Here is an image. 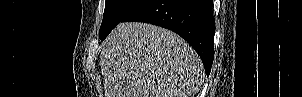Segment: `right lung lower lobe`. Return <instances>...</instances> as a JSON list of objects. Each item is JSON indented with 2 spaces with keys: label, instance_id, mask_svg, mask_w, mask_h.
<instances>
[{
  "label": "right lung lower lobe",
  "instance_id": "right-lung-lower-lobe-1",
  "mask_svg": "<svg viewBox=\"0 0 302 97\" xmlns=\"http://www.w3.org/2000/svg\"><path fill=\"white\" fill-rule=\"evenodd\" d=\"M212 0H143L121 22L151 23L179 34L200 56L207 76L214 58Z\"/></svg>",
  "mask_w": 302,
  "mask_h": 97
}]
</instances>
